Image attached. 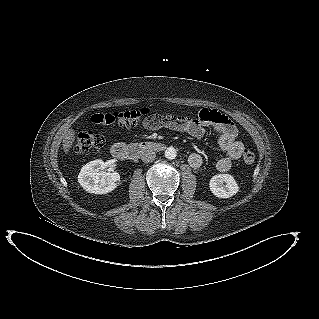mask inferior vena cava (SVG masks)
Segmentation results:
<instances>
[{
  "mask_svg": "<svg viewBox=\"0 0 319 319\" xmlns=\"http://www.w3.org/2000/svg\"><path fill=\"white\" fill-rule=\"evenodd\" d=\"M156 157V154L154 151L152 150H147V151H144L141 155V160L144 162V163H149V162H152Z\"/></svg>",
  "mask_w": 319,
  "mask_h": 319,
  "instance_id": "inferior-vena-cava-1",
  "label": "inferior vena cava"
}]
</instances>
